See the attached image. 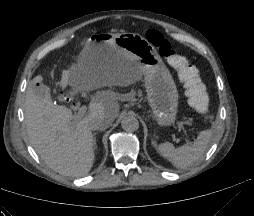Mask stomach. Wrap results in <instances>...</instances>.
Listing matches in <instances>:
<instances>
[{"label": "stomach", "instance_id": "stomach-1", "mask_svg": "<svg viewBox=\"0 0 254 216\" xmlns=\"http://www.w3.org/2000/svg\"><path fill=\"white\" fill-rule=\"evenodd\" d=\"M117 52L124 53L139 70L145 81L147 100L157 123L162 127L177 118L179 94L162 58L139 34H101L86 45L85 55L78 64L98 66L109 64Z\"/></svg>", "mask_w": 254, "mask_h": 216}]
</instances>
